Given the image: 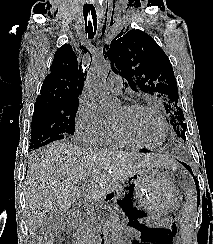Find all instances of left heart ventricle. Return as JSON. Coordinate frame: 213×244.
<instances>
[{"label":"left heart ventricle","instance_id":"left-heart-ventricle-1","mask_svg":"<svg viewBox=\"0 0 213 244\" xmlns=\"http://www.w3.org/2000/svg\"><path fill=\"white\" fill-rule=\"evenodd\" d=\"M129 138L144 143L157 144L163 137V130L154 115L146 110H128L122 107L112 119Z\"/></svg>","mask_w":213,"mask_h":244}]
</instances>
